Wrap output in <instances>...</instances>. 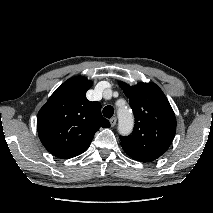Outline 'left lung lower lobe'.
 Instances as JSON below:
<instances>
[{"label":"left lung lower lobe","mask_w":213,"mask_h":213,"mask_svg":"<svg viewBox=\"0 0 213 213\" xmlns=\"http://www.w3.org/2000/svg\"><path fill=\"white\" fill-rule=\"evenodd\" d=\"M127 153V152H126ZM130 157H132L133 159L137 160V161H140V162H152L153 160L151 159H146V158H141V157H137V156H134L130 153H127Z\"/></svg>","instance_id":"obj_1"}]
</instances>
